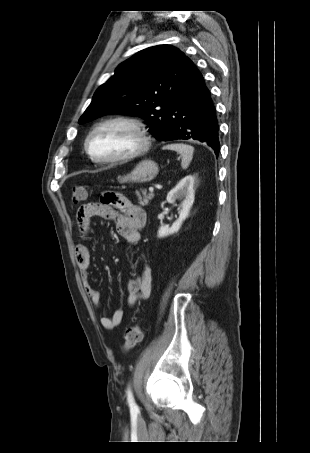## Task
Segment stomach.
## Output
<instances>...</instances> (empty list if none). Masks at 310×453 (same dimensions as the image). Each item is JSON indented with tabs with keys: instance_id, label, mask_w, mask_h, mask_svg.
<instances>
[{
	"instance_id": "1",
	"label": "stomach",
	"mask_w": 310,
	"mask_h": 453,
	"mask_svg": "<svg viewBox=\"0 0 310 453\" xmlns=\"http://www.w3.org/2000/svg\"><path fill=\"white\" fill-rule=\"evenodd\" d=\"M159 172L157 163L152 160H142L136 167L127 175L120 176L121 183H145L153 180Z\"/></svg>"
}]
</instances>
